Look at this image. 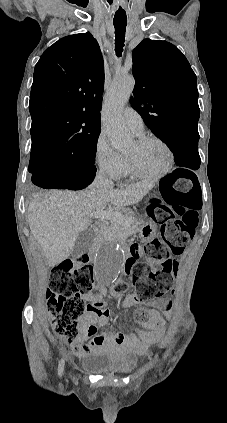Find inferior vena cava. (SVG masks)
Segmentation results:
<instances>
[{"label":"inferior vena cava","mask_w":227,"mask_h":423,"mask_svg":"<svg viewBox=\"0 0 227 423\" xmlns=\"http://www.w3.org/2000/svg\"><path fill=\"white\" fill-rule=\"evenodd\" d=\"M95 184H99V186H102L104 190H108V188H113V182L112 180H108L104 168H99L96 174Z\"/></svg>","instance_id":"602c4592"}]
</instances>
